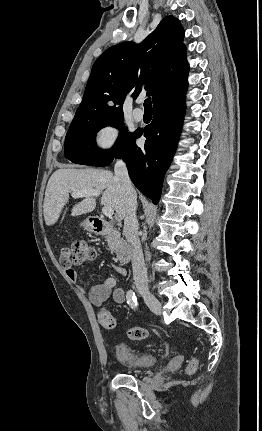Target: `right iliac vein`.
Wrapping results in <instances>:
<instances>
[{"label":"right iliac vein","instance_id":"obj_1","mask_svg":"<svg viewBox=\"0 0 262 431\" xmlns=\"http://www.w3.org/2000/svg\"><path fill=\"white\" fill-rule=\"evenodd\" d=\"M142 296L147 306L155 313L161 312L162 303L149 291H144Z\"/></svg>","mask_w":262,"mask_h":431}]
</instances>
